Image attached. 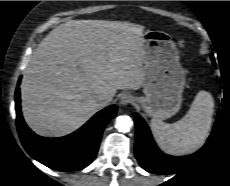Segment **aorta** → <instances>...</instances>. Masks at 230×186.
Instances as JSON below:
<instances>
[{
  "instance_id": "762f6f07",
  "label": "aorta",
  "mask_w": 230,
  "mask_h": 186,
  "mask_svg": "<svg viewBox=\"0 0 230 186\" xmlns=\"http://www.w3.org/2000/svg\"><path fill=\"white\" fill-rule=\"evenodd\" d=\"M132 124L131 118L127 115L118 116L115 121V127L119 132H128Z\"/></svg>"
}]
</instances>
